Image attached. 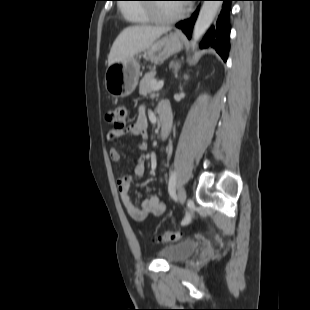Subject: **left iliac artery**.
Listing matches in <instances>:
<instances>
[{
	"label": "left iliac artery",
	"instance_id": "obj_1",
	"mask_svg": "<svg viewBox=\"0 0 310 310\" xmlns=\"http://www.w3.org/2000/svg\"><path fill=\"white\" fill-rule=\"evenodd\" d=\"M175 185H176V173L172 171L169 177L168 192H169L170 197L174 201H177V196L175 193ZM191 219H192L191 214L188 211H186L185 216L181 221V225L182 226L188 225L191 222Z\"/></svg>",
	"mask_w": 310,
	"mask_h": 310
}]
</instances>
